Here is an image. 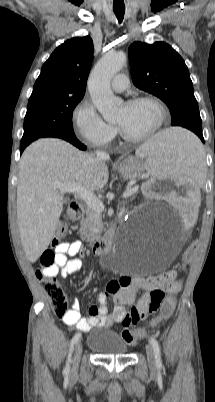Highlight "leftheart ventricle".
Returning a JSON list of instances; mask_svg holds the SVG:
<instances>
[{"label": "left heart ventricle", "mask_w": 215, "mask_h": 402, "mask_svg": "<svg viewBox=\"0 0 215 402\" xmlns=\"http://www.w3.org/2000/svg\"><path fill=\"white\" fill-rule=\"evenodd\" d=\"M158 121V110L150 102L134 105L123 104L116 117V124L127 134L140 136L151 131Z\"/></svg>", "instance_id": "obj_1"}]
</instances>
